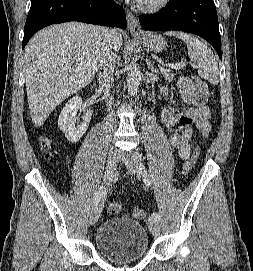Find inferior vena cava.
<instances>
[{"mask_svg": "<svg viewBox=\"0 0 253 271\" xmlns=\"http://www.w3.org/2000/svg\"><path fill=\"white\" fill-rule=\"evenodd\" d=\"M103 42L99 56V83L100 87L109 96L110 88L113 83V72L115 68V54L112 46L113 30L102 28ZM113 104V98L108 99L109 110Z\"/></svg>", "mask_w": 253, "mask_h": 271, "instance_id": "602c4592", "label": "inferior vena cava"}]
</instances>
